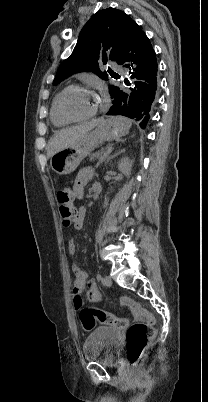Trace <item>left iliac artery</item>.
Listing matches in <instances>:
<instances>
[{"label": "left iliac artery", "instance_id": "left-iliac-artery-1", "mask_svg": "<svg viewBox=\"0 0 208 402\" xmlns=\"http://www.w3.org/2000/svg\"><path fill=\"white\" fill-rule=\"evenodd\" d=\"M97 280H98V281L102 280V276H101L100 273L97 274Z\"/></svg>", "mask_w": 208, "mask_h": 402}]
</instances>
